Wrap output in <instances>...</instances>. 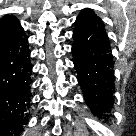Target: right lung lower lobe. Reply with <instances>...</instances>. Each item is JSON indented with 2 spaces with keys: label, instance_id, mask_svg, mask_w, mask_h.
<instances>
[{
  "label": "right lung lower lobe",
  "instance_id": "obj_1",
  "mask_svg": "<svg viewBox=\"0 0 136 136\" xmlns=\"http://www.w3.org/2000/svg\"><path fill=\"white\" fill-rule=\"evenodd\" d=\"M27 36L0 42V136H20L27 121L31 64Z\"/></svg>",
  "mask_w": 136,
  "mask_h": 136
}]
</instances>
